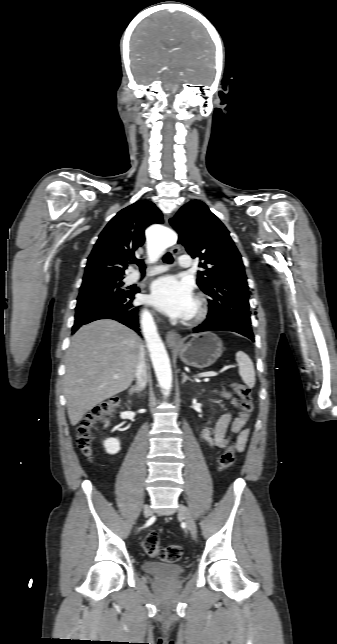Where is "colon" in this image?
<instances>
[{
  "label": "colon",
  "instance_id": "colon-1",
  "mask_svg": "<svg viewBox=\"0 0 337 644\" xmlns=\"http://www.w3.org/2000/svg\"><path fill=\"white\" fill-rule=\"evenodd\" d=\"M232 388L240 399V415L243 418H246L254 408L250 389L244 384L237 382L232 383ZM119 404V398L111 399L110 401L93 408L92 411L84 418L78 429L77 437L78 446L84 454H91L93 434L97 425L109 418L115 412ZM234 460L235 445L230 444L219 457V470H227L233 464ZM159 543L160 539L158 533L150 532L143 540V548L149 556L157 557L165 562L173 563L181 559L182 547L180 545L172 544L161 548Z\"/></svg>",
  "mask_w": 337,
  "mask_h": 644
}]
</instances>
